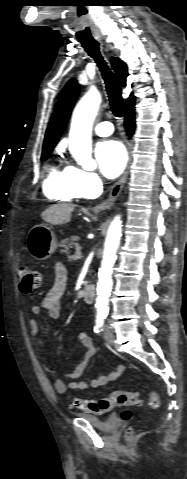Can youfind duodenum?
I'll list each match as a JSON object with an SVG mask.
<instances>
[{"label":"duodenum","mask_w":187,"mask_h":479,"mask_svg":"<svg viewBox=\"0 0 187 479\" xmlns=\"http://www.w3.org/2000/svg\"><path fill=\"white\" fill-rule=\"evenodd\" d=\"M82 298L85 302L91 303L96 295V289L93 285L87 284L83 286L81 291Z\"/></svg>","instance_id":"duodenum-1"}]
</instances>
